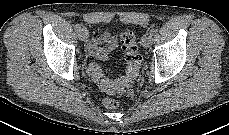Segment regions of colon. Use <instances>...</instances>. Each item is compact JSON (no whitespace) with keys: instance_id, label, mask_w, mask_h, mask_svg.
Masks as SVG:
<instances>
[{"instance_id":"1","label":"colon","mask_w":229,"mask_h":135,"mask_svg":"<svg viewBox=\"0 0 229 135\" xmlns=\"http://www.w3.org/2000/svg\"><path fill=\"white\" fill-rule=\"evenodd\" d=\"M121 43L126 60V75L121 80L108 79L97 63L89 65V72L94 82L108 95L125 92L140 72L142 57L137 48L135 34L132 31L124 32L121 36ZM102 102L108 109H116L119 106L118 101L110 96H106Z\"/></svg>"}]
</instances>
